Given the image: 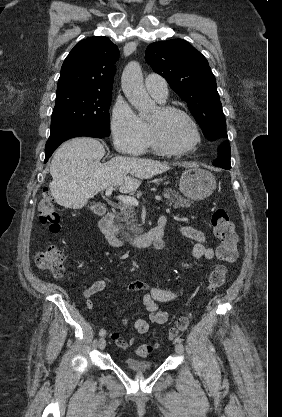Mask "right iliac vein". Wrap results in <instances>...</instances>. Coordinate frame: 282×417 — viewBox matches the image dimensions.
Segmentation results:
<instances>
[{
  "instance_id": "63e3f726",
  "label": "right iliac vein",
  "mask_w": 282,
  "mask_h": 417,
  "mask_svg": "<svg viewBox=\"0 0 282 417\" xmlns=\"http://www.w3.org/2000/svg\"><path fill=\"white\" fill-rule=\"evenodd\" d=\"M106 346V341L104 338H100L98 341V347L100 350H103Z\"/></svg>"
}]
</instances>
